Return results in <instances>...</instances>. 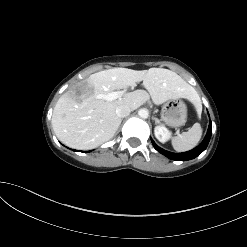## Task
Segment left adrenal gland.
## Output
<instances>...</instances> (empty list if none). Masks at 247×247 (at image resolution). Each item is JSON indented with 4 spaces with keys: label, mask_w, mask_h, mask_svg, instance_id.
I'll return each mask as SVG.
<instances>
[{
    "label": "left adrenal gland",
    "mask_w": 247,
    "mask_h": 247,
    "mask_svg": "<svg viewBox=\"0 0 247 247\" xmlns=\"http://www.w3.org/2000/svg\"><path fill=\"white\" fill-rule=\"evenodd\" d=\"M153 119L155 120V123H156V124H159V123H160V120H159L158 118L153 117Z\"/></svg>",
    "instance_id": "obj_1"
}]
</instances>
